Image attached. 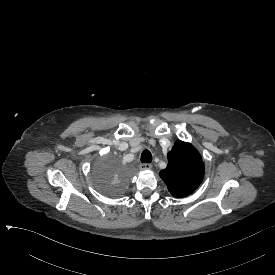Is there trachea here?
<instances>
[{"label": "trachea", "mask_w": 275, "mask_h": 275, "mask_svg": "<svg viewBox=\"0 0 275 275\" xmlns=\"http://www.w3.org/2000/svg\"><path fill=\"white\" fill-rule=\"evenodd\" d=\"M152 162V154L149 150L145 149L141 153V163H151Z\"/></svg>", "instance_id": "1"}]
</instances>
